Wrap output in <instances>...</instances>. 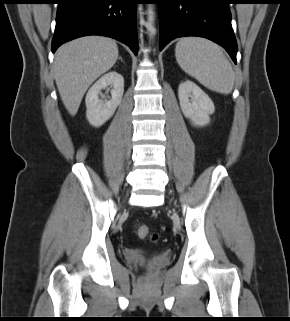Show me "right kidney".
Here are the masks:
<instances>
[{
  "mask_svg": "<svg viewBox=\"0 0 290 321\" xmlns=\"http://www.w3.org/2000/svg\"><path fill=\"white\" fill-rule=\"evenodd\" d=\"M111 86V98L99 99L101 90ZM124 93V78L116 71L103 75L89 89L86 98V118L92 126L100 127L109 120L120 105Z\"/></svg>",
  "mask_w": 290,
  "mask_h": 321,
  "instance_id": "obj_1",
  "label": "right kidney"
}]
</instances>
